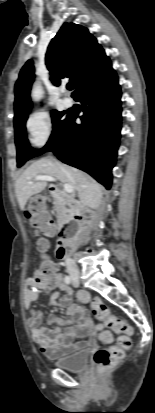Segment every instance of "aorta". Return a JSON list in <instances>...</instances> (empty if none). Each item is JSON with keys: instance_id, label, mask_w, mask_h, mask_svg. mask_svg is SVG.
I'll list each match as a JSON object with an SVG mask.
<instances>
[{"instance_id": "1", "label": "aorta", "mask_w": 155, "mask_h": 413, "mask_svg": "<svg viewBox=\"0 0 155 413\" xmlns=\"http://www.w3.org/2000/svg\"><path fill=\"white\" fill-rule=\"evenodd\" d=\"M42 94H43V91H42L41 86L38 83H36L34 85L33 89H32V98H33V100H35V101L40 100L41 97H42Z\"/></svg>"}]
</instances>
